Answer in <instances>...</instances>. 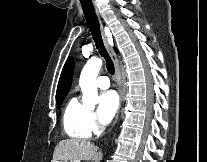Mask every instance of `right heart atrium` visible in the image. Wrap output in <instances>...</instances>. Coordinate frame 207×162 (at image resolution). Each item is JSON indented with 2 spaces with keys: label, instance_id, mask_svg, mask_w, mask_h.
I'll return each mask as SVG.
<instances>
[{
  "label": "right heart atrium",
  "instance_id": "obj_1",
  "mask_svg": "<svg viewBox=\"0 0 207 162\" xmlns=\"http://www.w3.org/2000/svg\"><path fill=\"white\" fill-rule=\"evenodd\" d=\"M88 121H89V125H90L92 132H96L99 126H98L97 119H96L94 112L92 111L89 112Z\"/></svg>",
  "mask_w": 207,
  "mask_h": 162
}]
</instances>
